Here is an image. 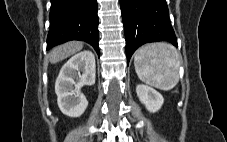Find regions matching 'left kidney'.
<instances>
[{
  "instance_id": "obj_1",
  "label": "left kidney",
  "mask_w": 227,
  "mask_h": 142,
  "mask_svg": "<svg viewBox=\"0 0 227 142\" xmlns=\"http://www.w3.org/2000/svg\"><path fill=\"white\" fill-rule=\"evenodd\" d=\"M136 93L141 103L150 112H157L164 103L163 96L150 86L139 84L136 87Z\"/></svg>"
}]
</instances>
